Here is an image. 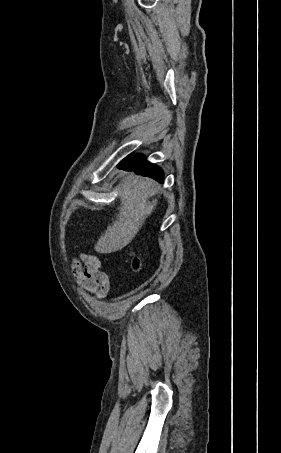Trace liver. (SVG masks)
<instances>
[{
  "label": "liver",
  "mask_w": 281,
  "mask_h": 453,
  "mask_svg": "<svg viewBox=\"0 0 281 453\" xmlns=\"http://www.w3.org/2000/svg\"><path fill=\"white\" fill-rule=\"evenodd\" d=\"M126 174V172H123ZM129 180H131L129 184ZM154 180L128 174L120 194L118 214L106 231L98 239L94 249L96 253H115L129 245L140 231L146 218L155 210L158 198L149 200Z\"/></svg>",
  "instance_id": "obj_1"
}]
</instances>
